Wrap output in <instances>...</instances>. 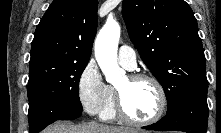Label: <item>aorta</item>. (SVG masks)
Segmentation results:
<instances>
[{"instance_id": "762f6f07", "label": "aorta", "mask_w": 221, "mask_h": 133, "mask_svg": "<svg viewBox=\"0 0 221 133\" xmlns=\"http://www.w3.org/2000/svg\"><path fill=\"white\" fill-rule=\"evenodd\" d=\"M120 38V26L115 21H107L95 41V58L107 82L121 80L124 71L117 63V49Z\"/></svg>"}]
</instances>
